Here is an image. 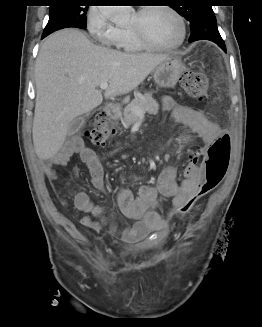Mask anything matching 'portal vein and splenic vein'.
I'll return each instance as SVG.
<instances>
[{
  "label": "portal vein and splenic vein",
  "instance_id": "18ae733b",
  "mask_svg": "<svg viewBox=\"0 0 262 327\" xmlns=\"http://www.w3.org/2000/svg\"><path fill=\"white\" fill-rule=\"evenodd\" d=\"M99 87H100V89L105 90V89L108 88V83L107 82H102V83H100ZM133 111L140 117L144 116L142 110L139 107H134Z\"/></svg>",
  "mask_w": 262,
  "mask_h": 327
}]
</instances>
